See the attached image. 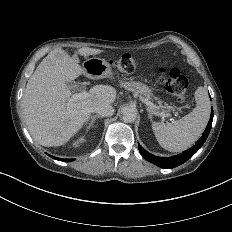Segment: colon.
<instances>
[{
	"mask_svg": "<svg viewBox=\"0 0 232 232\" xmlns=\"http://www.w3.org/2000/svg\"><path fill=\"white\" fill-rule=\"evenodd\" d=\"M114 60L116 61V66H120L118 73H139V68L135 66L136 62L130 61V56H115ZM156 81L160 85L168 87V91H171V94H177L175 101L179 102V105H184V94L188 93L190 81L185 79L181 73L177 71H172L169 74L160 72L156 76Z\"/></svg>",
	"mask_w": 232,
	"mask_h": 232,
	"instance_id": "5ec220e1",
	"label": "colon"
}]
</instances>
